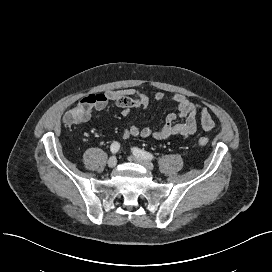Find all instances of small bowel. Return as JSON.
Here are the masks:
<instances>
[{
    "label": "small bowel",
    "mask_w": 272,
    "mask_h": 272,
    "mask_svg": "<svg viewBox=\"0 0 272 272\" xmlns=\"http://www.w3.org/2000/svg\"><path fill=\"white\" fill-rule=\"evenodd\" d=\"M165 97V93L160 91L151 97L133 88L88 94L83 96L78 103L66 112L63 122L66 125H78L86 122L98 111L102 110L108 102H113L121 110V114L127 116L131 109L145 110L151 100L158 102ZM170 99L176 105L178 113L168 115L161 127L152 129L130 125L123 130V137L152 138L154 140H164L173 136L187 138L196 132L198 126H201L205 131L214 128V121L206 107L194 103L185 95L178 93L172 94Z\"/></svg>",
    "instance_id": "1"
}]
</instances>
